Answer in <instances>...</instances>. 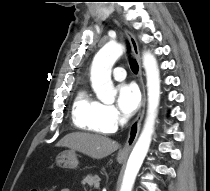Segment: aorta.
<instances>
[{
  "label": "aorta",
  "instance_id": "obj_1",
  "mask_svg": "<svg viewBox=\"0 0 210 191\" xmlns=\"http://www.w3.org/2000/svg\"><path fill=\"white\" fill-rule=\"evenodd\" d=\"M123 52L124 47L121 44L109 42L94 57L90 79L97 98L105 104H111L115 100L117 91L111 80V70ZM142 60L147 80V115L143 130L128 159L120 191H132L136 176L149 150L160 101V74L156 58L145 52Z\"/></svg>",
  "mask_w": 210,
  "mask_h": 191
}]
</instances>
